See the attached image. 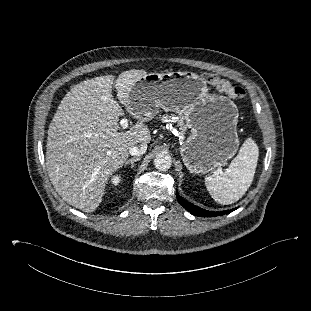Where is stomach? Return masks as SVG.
Listing matches in <instances>:
<instances>
[{
	"label": "stomach",
	"mask_w": 311,
	"mask_h": 311,
	"mask_svg": "<svg viewBox=\"0 0 311 311\" xmlns=\"http://www.w3.org/2000/svg\"><path fill=\"white\" fill-rule=\"evenodd\" d=\"M132 113L152 119L159 108L183 115L190 136L180 154L191 173L205 174L231 159L239 147L238 108L227 97L208 92L192 72L149 73L129 93Z\"/></svg>",
	"instance_id": "0dacf381"
}]
</instances>
